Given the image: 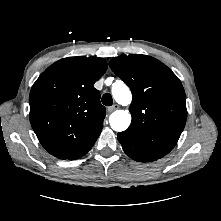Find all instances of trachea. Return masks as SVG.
Instances as JSON below:
<instances>
[{"instance_id":"1","label":"trachea","mask_w":221,"mask_h":221,"mask_svg":"<svg viewBox=\"0 0 221 221\" xmlns=\"http://www.w3.org/2000/svg\"><path fill=\"white\" fill-rule=\"evenodd\" d=\"M102 103H103L105 106H111V105L113 104L112 96H111L109 93H105V94L102 96Z\"/></svg>"}]
</instances>
